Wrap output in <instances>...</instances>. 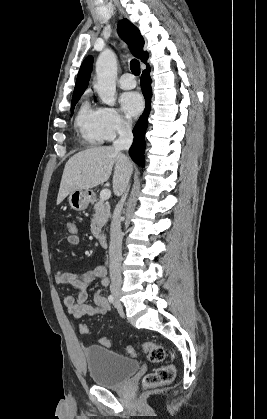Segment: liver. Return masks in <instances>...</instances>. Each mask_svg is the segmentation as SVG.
I'll return each mask as SVG.
<instances>
[{"mask_svg":"<svg viewBox=\"0 0 267 419\" xmlns=\"http://www.w3.org/2000/svg\"><path fill=\"white\" fill-rule=\"evenodd\" d=\"M114 166L113 191L120 195L126 174L132 172L130 160L112 146L91 147L72 156L65 165L57 204L75 190H89L106 182Z\"/></svg>","mask_w":267,"mask_h":419,"instance_id":"1","label":"liver"}]
</instances>
